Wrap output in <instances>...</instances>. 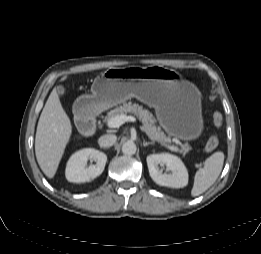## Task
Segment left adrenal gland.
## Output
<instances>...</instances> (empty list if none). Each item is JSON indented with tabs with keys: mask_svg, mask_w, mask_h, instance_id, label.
Wrapping results in <instances>:
<instances>
[{
	"mask_svg": "<svg viewBox=\"0 0 261 254\" xmlns=\"http://www.w3.org/2000/svg\"><path fill=\"white\" fill-rule=\"evenodd\" d=\"M154 142H146L145 140H143V146L146 147L148 145H153Z\"/></svg>",
	"mask_w": 261,
	"mask_h": 254,
	"instance_id": "left-adrenal-gland-1",
	"label": "left adrenal gland"
}]
</instances>
